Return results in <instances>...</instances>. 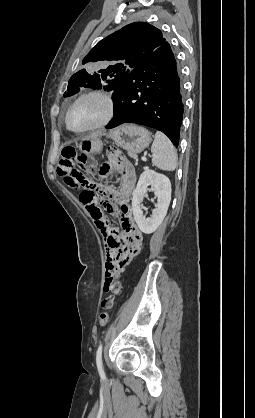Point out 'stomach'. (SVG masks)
I'll list each match as a JSON object with an SVG mask.
<instances>
[{"label":"stomach","instance_id":"stomach-1","mask_svg":"<svg viewBox=\"0 0 255 418\" xmlns=\"http://www.w3.org/2000/svg\"><path fill=\"white\" fill-rule=\"evenodd\" d=\"M106 136L117 146L133 154L142 152L151 142V133L144 127L133 124L111 130ZM79 148L85 154L99 153L102 150V141L99 137L84 139Z\"/></svg>","mask_w":255,"mask_h":418}]
</instances>
